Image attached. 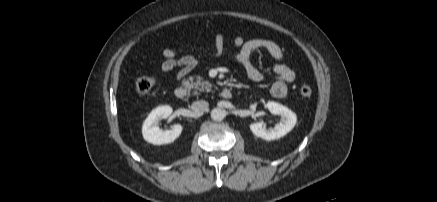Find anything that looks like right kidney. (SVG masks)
Returning a JSON list of instances; mask_svg holds the SVG:
<instances>
[{
    "label": "right kidney",
    "instance_id": "right-kidney-1",
    "mask_svg": "<svg viewBox=\"0 0 437 202\" xmlns=\"http://www.w3.org/2000/svg\"><path fill=\"white\" fill-rule=\"evenodd\" d=\"M173 109L170 106H159L152 110L143 123L142 134L144 139L154 145H163L173 142L177 139L181 132L182 126L175 124L172 129L162 130L158 126L161 119L168 118Z\"/></svg>",
    "mask_w": 437,
    "mask_h": 202
}]
</instances>
